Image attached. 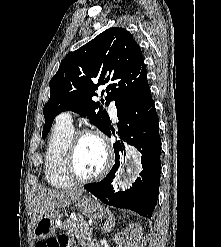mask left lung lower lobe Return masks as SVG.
<instances>
[{
	"label": "left lung lower lobe",
	"mask_w": 221,
	"mask_h": 247,
	"mask_svg": "<svg viewBox=\"0 0 221 247\" xmlns=\"http://www.w3.org/2000/svg\"><path fill=\"white\" fill-rule=\"evenodd\" d=\"M117 116L119 128L116 134L120 140L113 145L115 165L102 181L86 184L84 188L105 204L151 218L158 198L161 171V139L152 96L122 104L117 108ZM112 133L115 135V130L109 126L105 134L111 137ZM125 143L134 145L141 152L143 170L130 189L114 193L111 184L125 152Z\"/></svg>",
	"instance_id": "0a47b994"
}]
</instances>
